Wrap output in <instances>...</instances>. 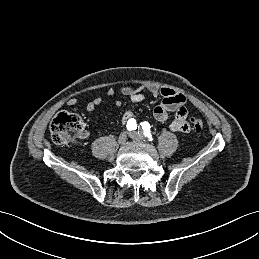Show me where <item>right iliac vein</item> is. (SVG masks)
I'll return each mask as SVG.
<instances>
[{"mask_svg":"<svg viewBox=\"0 0 259 259\" xmlns=\"http://www.w3.org/2000/svg\"><path fill=\"white\" fill-rule=\"evenodd\" d=\"M127 136H128V133L127 132H123L119 135L118 137V143L119 144H124L127 140Z\"/></svg>","mask_w":259,"mask_h":259,"instance_id":"1","label":"right iliac vein"}]
</instances>
